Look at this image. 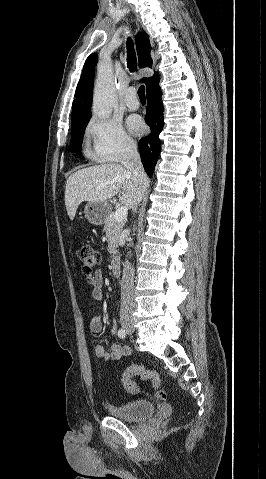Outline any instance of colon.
<instances>
[{"label": "colon", "instance_id": "obj_1", "mask_svg": "<svg viewBox=\"0 0 266 479\" xmlns=\"http://www.w3.org/2000/svg\"><path fill=\"white\" fill-rule=\"evenodd\" d=\"M75 258L79 263L81 273L90 276L101 260V254L89 245H82L75 251ZM133 377H139L142 380H149L155 389L161 386L160 376L156 371L148 370L140 366L127 367L121 375V381L124 388L130 393H137L139 388L132 380ZM158 397L162 400L166 399V393L159 390Z\"/></svg>", "mask_w": 266, "mask_h": 479}]
</instances>
